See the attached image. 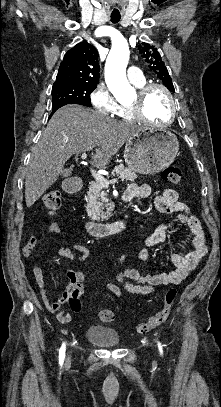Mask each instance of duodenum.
I'll return each mask as SVG.
<instances>
[{"instance_id": "1", "label": "duodenum", "mask_w": 221, "mask_h": 407, "mask_svg": "<svg viewBox=\"0 0 221 407\" xmlns=\"http://www.w3.org/2000/svg\"><path fill=\"white\" fill-rule=\"evenodd\" d=\"M69 193H78L83 189V183H69L66 185ZM128 227V217L125 215L121 219L110 223L88 222L86 229L91 236H106L124 231Z\"/></svg>"}]
</instances>
